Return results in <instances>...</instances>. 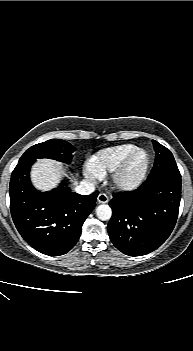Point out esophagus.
<instances>
[{
    "label": "esophagus",
    "instance_id": "34e87169",
    "mask_svg": "<svg viewBox=\"0 0 193 351\" xmlns=\"http://www.w3.org/2000/svg\"><path fill=\"white\" fill-rule=\"evenodd\" d=\"M108 200H109V197H108V195L106 193H100L98 195V201L99 202L106 203V202H108Z\"/></svg>",
    "mask_w": 193,
    "mask_h": 351
}]
</instances>
